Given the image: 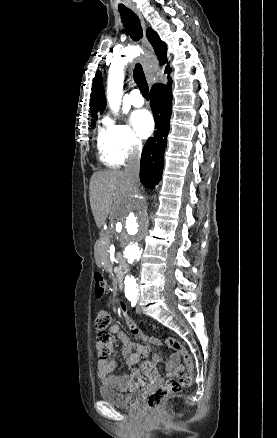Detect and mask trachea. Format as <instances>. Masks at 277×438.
Returning <instances> with one entry per match:
<instances>
[{"instance_id": "1", "label": "trachea", "mask_w": 277, "mask_h": 438, "mask_svg": "<svg viewBox=\"0 0 277 438\" xmlns=\"http://www.w3.org/2000/svg\"><path fill=\"white\" fill-rule=\"evenodd\" d=\"M118 10L122 23L128 35H130V38L135 42L139 41L143 37V30L138 16L132 10H130V8L123 7L119 8ZM133 78L142 95L148 100L149 87L140 63L135 65L133 70Z\"/></svg>"}]
</instances>
